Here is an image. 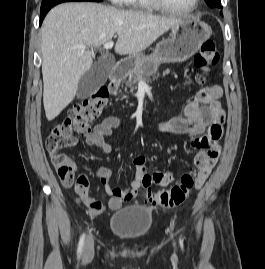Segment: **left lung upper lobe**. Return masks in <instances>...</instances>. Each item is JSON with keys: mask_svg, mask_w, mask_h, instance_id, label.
Listing matches in <instances>:
<instances>
[{"mask_svg": "<svg viewBox=\"0 0 265 269\" xmlns=\"http://www.w3.org/2000/svg\"><path fill=\"white\" fill-rule=\"evenodd\" d=\"M206 3L208 4V6H210L211 8L213 7H221V1L220 0H205Z\"/></svg>", "mask_w": 265, "mask_h": 269, "instance_id": "left-lung-upper-lobe-1", "label": "left lung upper lobe"}]
</instances>
